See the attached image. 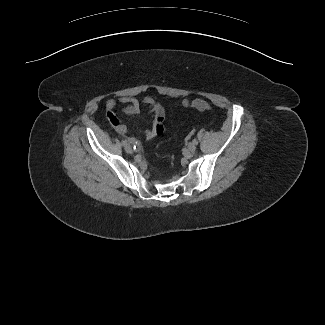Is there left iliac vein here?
Instances as JSON below:
<instances>
[{
    "label": "left iliac vein",
    "mask_w": 325,
    "mask_h": 325,
    "mask_svg": "<svg viewBox=\"0 0 325 325\" xmlns=\"http://www.w3.org/2000/svg\"><path fill=\"white\" fill-rule=\"evenodd\" d=\"M187 147H188V150L191 152H194L196 150V146L193 142H190Z\"/></svg>",
    "instance_id": "left-iliac-vein-1"
}]
</instances>
